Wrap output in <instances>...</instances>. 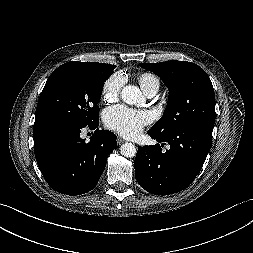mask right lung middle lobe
<instances>
[{"instance_id":"obj_1","label":"right lung middle lobe","mask_w":253,"mask_h":253,"mask_svg":"<svg viewBox=\"0 0 253 253\" xmlns=\"http://www.w3.org/2000/svg\"><path fill=\"white\" fill-rule=\"evenodd\" d=\"M114 66L68 62L48 78L38 100L35 125L60 121L85 127L99 120L98 103Z\"/></svg>"}]
</instances>
